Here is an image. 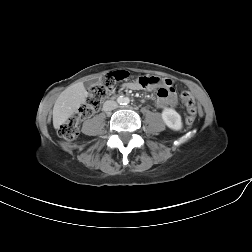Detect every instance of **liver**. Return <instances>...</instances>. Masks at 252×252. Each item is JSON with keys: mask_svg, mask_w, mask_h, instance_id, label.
<instances>
[{"mask_svg": "<svg viewBox=\"0 0 252 252\" xmlns=\"http://www.w3.org/2000/svg\"><path fill=\"white\" fill-rule=\"evenodd\" d=\"M88 92L82 82L66 88L57 98L53 107V126L59 128L77 109L85 103Z\"/></svg>", "mask_w": 252, "mask_h": 252, "instance_id": "1", "label": "liver"}]
</instances>
